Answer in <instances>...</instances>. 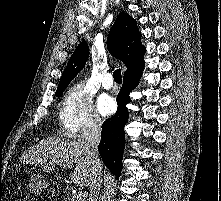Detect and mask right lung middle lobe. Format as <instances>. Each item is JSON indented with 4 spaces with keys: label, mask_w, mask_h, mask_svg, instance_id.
I'll use <instances>...</instances> for the list:
<instances>
[{
    "label": "right lung middle lobe",
    "mask_w": 221,
    "mask_h": 201,
    "mask_svg": "<svg viewBox=\"0 0 221 201\" xmlns=\"http://www.w3.org/2000/svg\"><path fill=\"white\" fill-rule=\"evenodd\" d=\"M62 93H63V91H59V92H56L55 95L60 97L62 95Z\"/></svg>",
    "instance_id": "1"
}]
</instances>
